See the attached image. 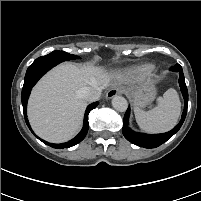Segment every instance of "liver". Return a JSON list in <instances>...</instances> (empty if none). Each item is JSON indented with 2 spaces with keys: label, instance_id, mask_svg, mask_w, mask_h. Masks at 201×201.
Returning a JSON list of instances; mask_svg holds the SVG:
<instances>
[{
  "label": "liver",
  "instance_id": "1",
  "mask_svg": "<svg viewBox=\"0 0 201 201\" xmlns=\"http://www.w3.org/2000/svg\"><path fill=\"white\" fill-rule=\"evenodd\" d=\"M112 76L93 64L63 63L49 71L33 88L28 119L35 133L53 143L73 138L81 128L87 100L85 87L110 85Z\"/></svg>",
  "mask_w": 201,
  "mask_h": 201
}]
</instances>
